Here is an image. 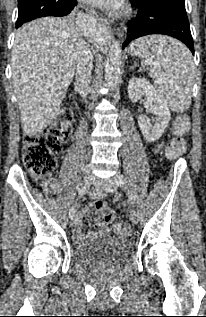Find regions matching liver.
<instances>
[{
	"instance_id": "obj_1",
	"label": "liver",
	"mask_w": 206,
	"mask_h": 317,
	"mask_svg": "<svg viewBox=\"0 0 206 317\" xmlns=\"http://www.w3.org/2000/svg\"><path fill=\"white\" fill-rule=\"evenodd\" d=\"M83 41L68 18L47 17L20 28L12 49V80L23 132L45 129L57 115L76 68Z\"/></svg>"
}]
</instances>
